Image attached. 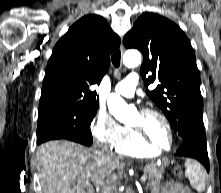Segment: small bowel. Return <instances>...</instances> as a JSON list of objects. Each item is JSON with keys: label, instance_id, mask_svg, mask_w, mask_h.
Returning <instances> with one entry per match:
<instances>
[{"label": "small bowel", "instance_id": "c3829d8e", "mask_svg": "<svg viewBox=\"0 0 221 193\" xmlns=\"http://www.w3.org/2000/svg\"><path fill=\"white\" fill-rule=\"evenodd\" d=\"M187 187L178 183H169L156 187L152 193H187Z\"/></svg>", "mask_w": 221, "mask_h": 193}]
</instances>
